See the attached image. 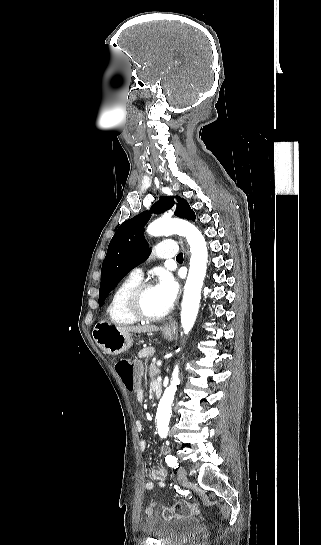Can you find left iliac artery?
Listing matches in <instances>:
<instances>
[{"label":"left iliac artery","mask_w":321,"mask_h":545,"mask_svg":"<svg viewBox=\"0 0 321 545\" xmlns=\"http://www.w3.org/2000/svg\"><path fill=\"white\" fill-rule=\"evenodd\" d=\"M165 461L168 464V466L171 468L176 469L179 466L177 458L174 457L173 455L166 456Z\"/></svg>","instance_id":"44dca946"}]
</instances>
